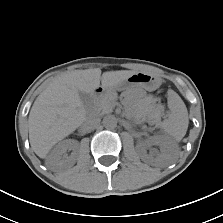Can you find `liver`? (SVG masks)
Here are the masks:
<instances>
[{
    "label": "liver",
    "instance_id": "obj_1",
    "mask_svg": "<svg viewBox=\"0 0 223 223\" xmlns=\"http://www.w3.org/2000/svg\"><path fill=\"white\" fill-rule=\"evenodd\" d=\"M137 72H104L99 68L75 70L56 77L37 97L29 113V140L33 151L45 158L51 148L86 120L79 92L93 94L100 87H114Z\"/></svg>",
    "mask_w": 223,
    "mask_h": 223
}]
</instances>
